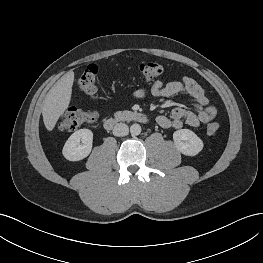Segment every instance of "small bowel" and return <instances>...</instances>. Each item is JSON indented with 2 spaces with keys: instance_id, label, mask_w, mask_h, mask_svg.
<instances>
[{
  "instance_id": "c3829d8e",
  "label": "small bowel",
  "mask_w": 263,
  "mask_h": 263,
  "mask_svg": "<svg viewBox=\"0 0 263 263\" xmlns=\"http://www.w3.org/2000/svg\"><path fill=\"white\" fill-rule=\"evenodd\" d=\"M149 93L155 98L170 97L182 93L189 97L192 109L176 107L171 111L169 116H157L158 125L165 129H179L184 125L198 127L203 123L213 120L217 113L216 107L206 97L203 88L190 77L185 76L180 80L170 82L156 80L152 84ZM134 95L137 98H143L145 91L138 89Z\"/></svg>"
}]
</instances>
